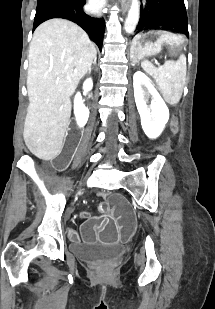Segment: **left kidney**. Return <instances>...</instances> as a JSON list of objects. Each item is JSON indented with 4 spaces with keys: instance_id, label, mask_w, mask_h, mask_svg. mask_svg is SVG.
Returning <instances> with one entry per match:
<instances>
[{
    "instance_id": "5707ae66",
    "label": "left kidney",
    "mask_w": 215,
    "mask_h": 309,
    "mask_svg": "<svg viewBox=\"0 0 215 309\" xmlns=\"http://www.w3.org/2000/svg\"><path fill=\"white\" fill-rule=\"evenodd\" d=\"M133 86L136 106L141 116V126L149 138H157L165 128L166 122H168L169 108L156 88L151 84L148 76L141 70L135 72ZM142 86H146L148 92L154 98V100H151L150 106L146 104L145 90H143Z\"/></svg>"
}]
</instances>
